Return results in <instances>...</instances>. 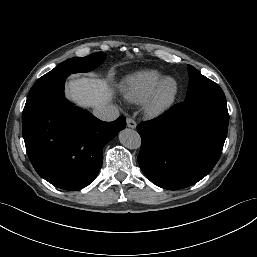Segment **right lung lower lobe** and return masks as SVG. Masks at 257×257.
<instances>
[{"mask_svg": "<svg viewBox=\"0 0 257 257\" xmlns=\"http://www.w3.org/2000/svg\"><path fill=\"white\" fill-rule=\"evenodd\" d=\"M67 76L37 81L22 113L23 138L37 173L54 186L78 190L102 166V149L126 126L124 116L103 122L64 97Z\"/></svg>", "mask_w": 257, "mask_h": 257, "instance_id": "98d812e1", "label": "right lung lower lobe"}]
</instances>
